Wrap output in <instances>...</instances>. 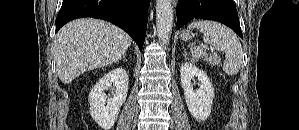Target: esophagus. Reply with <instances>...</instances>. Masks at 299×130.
I'll use <instances>...</instances> for the list:
<instances>
[{
  "label": "esophagus",
  "instance_id": "obj_1",
  "mask_svg": "<svg viewBox=\"0 0 299 130\" xmlns=\"http://www.w3.org/2000/svg\"><path fill=\"white\" fill-rule=\"evenodd\" d=\"M173 2H174V4H176V3H177V1H176V0H174Z\"/></svg>",
  "mask_w": 299,
  "mask_h": 130
}]
</instances>
